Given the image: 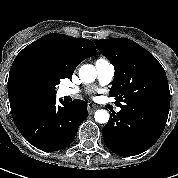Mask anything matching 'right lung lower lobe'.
<instances>
[{
	"label": "right lung lower lobe",
	"mask_w": 178,
	"mask_h": 178,
	"mask_svg": "<svg viewBox=\"0 0 178 178\" xmlns=\"http://www.w3.org/2000/svg\"><path fill=\"white\" fill-rule=\"evenodd\" d=\"M60 102L62 106H57L56 96L23 98L11 106L19 132L40 150L57 151L67 147L88 116L87 104L83 100Z\"/></svg>",
	"instance_id": "obj_1"
}]
</instances>
